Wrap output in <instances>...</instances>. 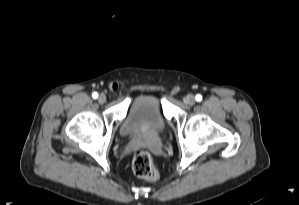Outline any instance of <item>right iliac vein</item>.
Returning a JSON list of instances; mask_svg holds the SVG:
<instances>
[{
    "mask_svg": "<svg viewBox=\"0 0 299 205\" xmlns=\"http://www.w3.org/2000/svg\"><path fill=\"white\" fill-rule=\"evenodd\" d=\"M99 103L103 104L106 102V96L104 94H100L98 97Z\"/></svg>",
    "mask_w": 299,
    "mask_h": 205,
    "instance_id": "right-iliac-vein-1",
    "label": "right iliac vein"
}]
</instances>
